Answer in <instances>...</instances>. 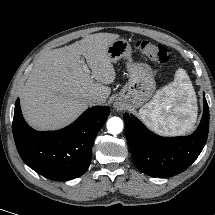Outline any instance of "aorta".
I'll use <instances>...</instances> for the list:
<instances>
[{
    "instance_id": "1",
    "label": "aorta",
    "mask_w": 215,
    "mask_h": 215,
    "mask_svg": "<svg viewBox=\"0 0 215 215\" xmlns=\"http://www.w3.org/2000/svg\"><path fill=\"white\" fill-rule=\"evenodd\" d=\"M107 129L113 135L119 134L123 129L122 120L119 117H111L107 121Z\"/></svg>"
}]
</instances>
